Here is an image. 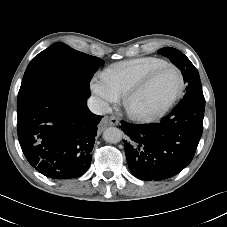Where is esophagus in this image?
<instances>
[{
    "label": "esophagus",
    "mask_w": 227,
    "mask_h": 227,
    "mask_svg": "<svg viewBox=\"0 0 227 227\" xmlns=\"http://www.w3.org/2000/svg\"><path fill=\"white\" fill-rule=\"evenodd\" d=\"M108 122L110 125H117L119 123V120L115 116H111L108 119Z\"/></svg>",
    "instance_id": "obj_1"
}]
</instances>
